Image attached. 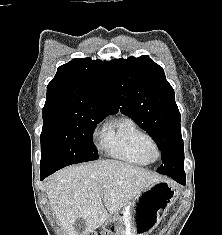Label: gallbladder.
Returning a JSON list of instances; mask_svg holds the SVG:
<instances>
[{
	"label": "gallbladder",
	"mask_w": 222,
	"mask_h": 235,
	"mask_svg": "<svg viewBox=\"0 0 222 235\" xmlns=\"http://www.w3.org/2000/svg\"><path fill=\"white\" fill-rule=\"evenodd\" d=\"M84 223H83V220H77L75 222V228L77 229L78 232H82L84 230Z\"/></svg>",
	"instance_id": "bac80fb5"
}]
</instances>
